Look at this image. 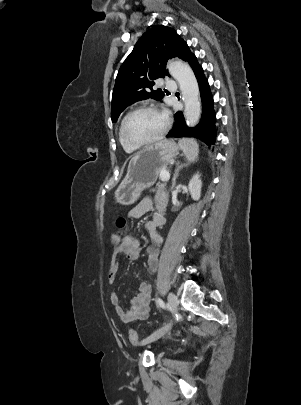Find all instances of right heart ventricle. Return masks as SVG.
<instances>
[{
    "label": "right heart ventricle",
    "instance_id": "e07e8e85",
    "mask_svg": "<svg viewBox=\"0 0 301 405\" xmlns=\"http://www.w3.org/2000/svg\"><path fill=\"white\" fill-rule=\"evenodd\" d=\"M121 124H122V122H121ZM121 124H120L119 132H118L119 142H120L121 146L123 147V149H124L126 152L132 153V152H134V151L136 150V148L129 146V145L126 144V143L124 142V140L122 139V136H121Z\"/></svg>",
    "mask_w": 301,
    "mask_h": 405
}]
</instances>
